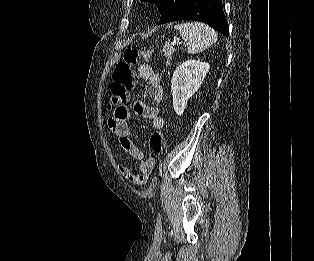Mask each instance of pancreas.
Here are the masks:
<instances>
[{"mask_svg":"<svg viewBox=\"0 0 314 261\" xmlns=\"http://www.w3.org/2000/svg\"><path fill=\"white\" fill-rule=\"evenodd\" d=\"M175 48L170 43H166L163 49L164 55L167 59V64H170V60L172 59V54L174 53Z\"/></svg>","mask_w":314,"mask_h":261,"instance_id":"obj_1","label":"pancreas"}]
</instances>
